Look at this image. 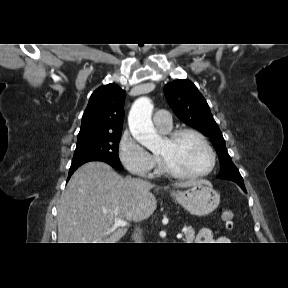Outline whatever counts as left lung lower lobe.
Returning <instances> with one entry per match:
<instances>
[{"mask_svg": "<svg viewBox=\"0 0 288 288\" xmlns=\"http://www.w3.org/2000/svg\"><path fill=\"white\" fill-rule=\"evenodd\" d=\"M239 186L246 192V189H245L244 185H239Z\"/></svg>", "mask_w": 288, "mask_h": 288, "instance_id": "1", "label": "left lung lower lobe"}]
</instances>
